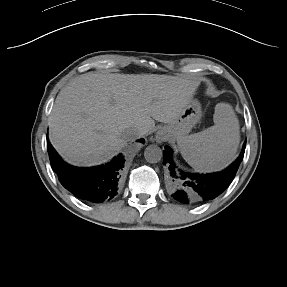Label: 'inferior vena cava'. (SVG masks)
Segmentation results:
<instances>
[{
	"mask_svg": "<svg viewBox=\"0 0 287 287\" xmlns=\"http://www.w3.org/2000/svg\"><path fill=\"white\" fill-rule=\"evenodd\" d=\"M144 134L145 132L143 130H138L136 128H128L123 132V137L127 141H132L143 136Z\"/></svg>",
	"mask_w": 287,
	"mask_h": 287,
	"instance_id": "1",
	"label": "inferior vena cava"
}]
</instances>
